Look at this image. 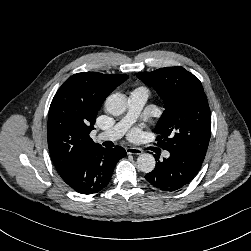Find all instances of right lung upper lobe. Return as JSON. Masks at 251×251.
Segmentation results:
<instances>
[{
	"label": "right lung upper lobe",
	"instance_id": "right-lung-upper-lobe-1",
	"mask_svg": "<svg viewBox=\"0 0 251 251\" xmlns=\"http://www.w3.org/2000/svg\"><path fill=\"white\" fill-rule=\"evenodd\" d=\"M127 75L82 72L69 77L55 94L49 109L48 148L60 176L88 149L99 147L89 134L106 97Z\"/></svg>",
	"mask_w": 251,
	"mask_h": 251
}]
</instances>
